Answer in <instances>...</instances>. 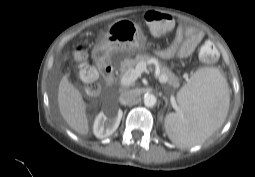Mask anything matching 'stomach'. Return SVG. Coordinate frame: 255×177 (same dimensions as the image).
Segmentation results:
<instances>
[{
    "instance_id": "1",
    "label": "stomach",
    "mask_w": 255,
    "mask_h": 177,
    "mask_svg": "<svg viewBox=\"0 0 255 177\" xmlns=\"http://www.w3.org/2000/svg\"><path fill=\"white\" fill-rule=\"evenodd\" d=\"M100 60L141 54L147 49V38L141 27L130 19H118L96 45Z\"/></svg>"
}]
</instances>
